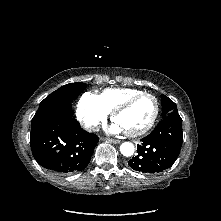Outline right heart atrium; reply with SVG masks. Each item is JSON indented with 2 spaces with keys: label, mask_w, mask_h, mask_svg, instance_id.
<instances>
[{
  "label": "right heart atrium",
  "mask_w": 221,
  "mask_h": 221,
  "mask_svg": "<svg viewBox=\"0 0 221 221\" xmlns=\"http://www.w3.org/2000/svg\"><path fill=\"white\" fill-rule=\"evenodd\" d=\"M109 112L103 106L98 95L85 92L77 105V118L88 131H95L104 122Z\"/></svg>",
  "instance_id": "d8ad5b80"
}]
</instances>
